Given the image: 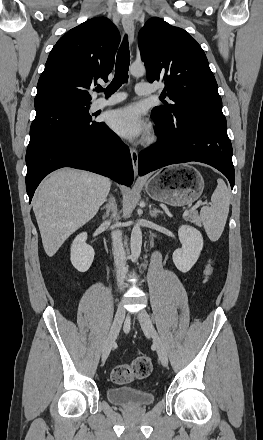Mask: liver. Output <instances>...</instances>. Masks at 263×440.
<instances>
[{
	"label": "liver",
	"instance_id": "6515ba94",
	"mask_svg": "<svg viewBox=\"0 0 263 440\" xmlns=\"http://www.w3.org/2000/svg\"><path fill=\"white\" fill-rule=\"evenodd\" d=\"M110 186L104 176L68 168L55 171L40 184L33 211L49 257L96 215Z\"/></svg>",
	"mask_w": 263,
	"mask_h": 440
}]
</instances>
